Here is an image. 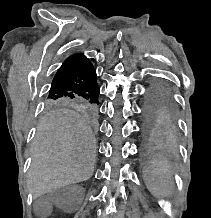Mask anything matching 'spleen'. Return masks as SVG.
<instances>
[{
	"instance_id": "3e777b00",
	"label": "spleen",
	"mask_w": 211,
	"mask_h": 218,
	"mask_svg": "<svg viewBox=\"0 0 211 218\" xmlns=\"http://www.w3.org/2000/svg\"><path fill=\"white\" fill-rule=\"evenodd\" d=\"M144 182L156 198H167L171 196L174 190V182L169 162L162 158H154L149 160L143 172Z\"/></svg>"
}]
</instances>
